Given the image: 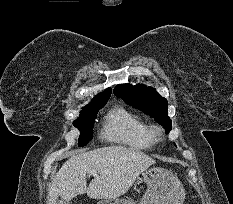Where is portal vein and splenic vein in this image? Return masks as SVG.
I'll return each mask as SVG.
<instances>
[{
  "label": "portal vein and splenic vein",
  "mask_w": 233,
  "mask_h": 204,
  "mask_svg": "<svg viewBox=\"0 0 233 204\" xmlns=\"http://www.w3.org/2000/svg\"><path fill=\"white\" fill-rule=\"evenodd\" d=\"M88 174L96 176V175H97V172H96V170H90V171L88 172Z\"/></svg>",
  "instance_id": "18ae733b"
}]
</instances>
